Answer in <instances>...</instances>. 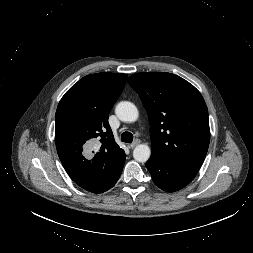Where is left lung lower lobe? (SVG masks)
<instances>
[{
	"label": "left lung lower lobe",
	"mask_w": 253,
	"mask_h": 253,
	"mask_svg": "<svg viewBox=\"0 0 253 253\" xmlns=\"http://www.w3.org/2000/svg\"><path fill=\"white\" fill-rule=\"evenodd\" d=\"M146 167L155 185L166 192H175L184 188L196 176L195 173L174 167L152 154Z\"/></svg>",
	"instance_id": "0a47b994"
}]
</instances>
